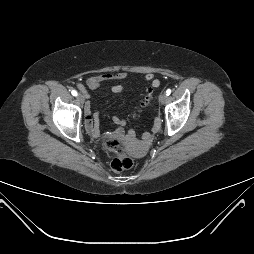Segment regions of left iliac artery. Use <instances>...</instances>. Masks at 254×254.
<instances>
[{"instance_id": "obj_1", "label": "left iliac artery", "mask_w": 254, "mask_h": 254, "mask_svg": "<svg viewBox=\"0 0 254 254\" xmlns=\"http://www.w3.org/2000/svg\"><path fill=\"white\" fill-rule=\"evenodd\" d=\"M170 93H171V89H168V90L166 91L167 96L170 95Z\"/></svg>"}]
</instances>
